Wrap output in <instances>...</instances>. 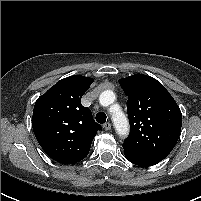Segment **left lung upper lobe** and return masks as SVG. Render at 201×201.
I'll list each match as a JSON object with an SVG mask.
<instances>
[{
    "mask_svg": "<svg viewBox=\"0 0 201 201\" xmlns=\"http://www.w3.org/2000/svg\"><path fill=\"white\" fill-rule=\"evenodd\" d=\"M128 96L130 134L124 141L125 157L139 166L162 161L175 147L182 126L179 106L156 79L135 74L119 81Z\"/></svg>",
    "mask_w": 201,
    "mask_h": 201,
    "instance_id": "obj_1",
    "label": "left lung upper lobe"
}]
</instances>
